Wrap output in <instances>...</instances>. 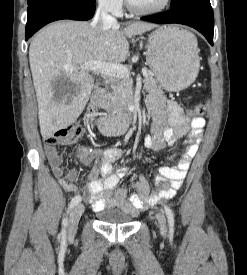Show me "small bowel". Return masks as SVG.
<instances>
[{
  "label": "small bowel",
  "mask_w": 247,
  "mask_h": 275,
  "mask_svg": "<svg viewBox=\"0 0 247 275\" xmlns=\"http://www.w3.org/2000/svg\"><path fill=\"white\" fill-rule=\"evenodd\" d=\"M147 104L153 116L151 133L144 138V146L147 149L161 151L166 145L174 147L178 138L186 135L189 137L177 165L161 166L158 169L156 183L169 181V185L162 190L150 192L148 181L138 176L132 184L135 192H130L125 188L118 189L120 180L127 174V168L117 171L113 168V164L122 154L121 150L81 148L78 151L80 161L85 165L94 162V167L88 175L84 198L95 211L111 208L137 214L158 200L172 198L186 177L190 161L195 157L199 148L205 119L201 116L189 118L176 102L160 95H150ZM45 151L50 167L62 187L68 192L79 193L78 187L73 183L77 177V171L75 169H70L68 172L63 170L62 158L55 146L47 144ZM175 156L176 152H173L169 159Z\"/></svg>",
  "instance_id": "obj_1"
}]
</instances>
